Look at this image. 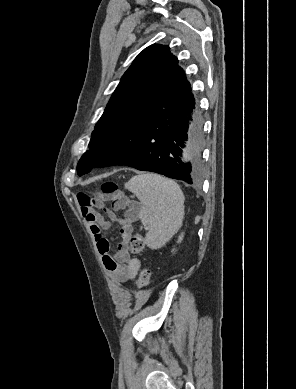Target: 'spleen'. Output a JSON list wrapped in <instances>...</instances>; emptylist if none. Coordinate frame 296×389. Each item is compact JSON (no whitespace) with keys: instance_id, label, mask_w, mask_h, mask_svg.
I'll return each mask as SVG.
<instances>
[{"instance_id":"3e777b00","label":"spleen","mask_w":296,"mask_h":389,"mask_svg":"<svg viewBox=\"0 0 296 389\" xmlns=\"http://www.w3.org/2000/svg\"><path fill=\"white\" fill-rule=\"evenodd\" d=\"M125 188L141 202L138 216L148 228L146 245L161 248L183 223L185 198L179 185L166 177L144 173L132 177Z\"/></svg>"}]
</instances>
